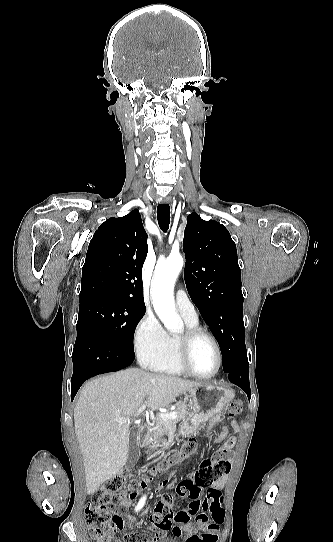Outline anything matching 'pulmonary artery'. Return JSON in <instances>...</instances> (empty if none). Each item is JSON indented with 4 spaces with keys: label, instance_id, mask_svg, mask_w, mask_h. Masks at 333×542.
Returning <instances> with one entry per match:
<instances>
[{
    "label": "pulmonary artery",
    "instance_id": "1",
    "mask_svg": "<svg viewBox=\"0 0 333 542\" xmlns=\"http://www.w3.org/2000/svg\"><path fill=\"white\" fill-rule=\"evenodd\" d=\"M176 308L178 312L190 321H198V314L195 306L186 293L178 290L175 295Z\"/></svg>",
    "mask_w": 333,
    "mask_h": 542
}]
</instances>
